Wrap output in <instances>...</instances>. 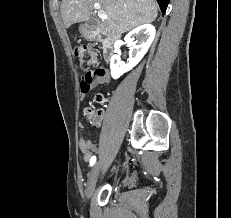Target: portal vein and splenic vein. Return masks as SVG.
I'll use <instances>...</instances> for the list:
<instances>
[{
  "label": "portal vein and splenic vein",
  "instance_id": "18ae733b",
  "mask_svg": "<svg viewBox=\"0 0 231 218\" xmlns=\"http://www.w3.org/2000/svg\"><path fill=\"white\" fill-rule=\"evenodd\" d=\"M94 8L96 10H98V16L101 19H106L107 18V15L105 13H102V11H101V5L99 3H94Z\"/></svg>",
  "mask_w": 231,
  "mask_h": 218
}]
</instances>
